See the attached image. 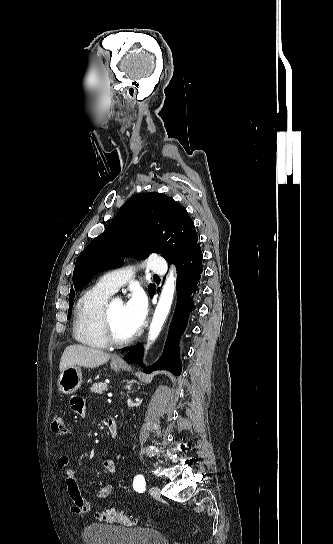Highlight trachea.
Returning <instances> with one entry per match:
<instances>
[{
    "instance_id": "1",
    "label": "trachea",
    "mask_w": 333,
    "mask_h": 544,
    "mask_svg": "<svg viewBox=\"0 0 333 544\" xmlns=\"http://www.w3.org/2000/svg\"><path fill=\"white\" fill-rule=\"evenodd\" d=\"M153 277H154V278H158L159 276H157V275H154Z\"/></svg>"
}]
</instances>
